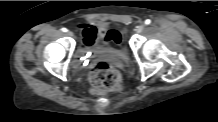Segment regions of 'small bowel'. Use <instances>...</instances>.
<instances>
[{
  "label": "small bowel",
  "instance_id": "1",
  "mask_svg": "<svg viewBox=\"0 0 218 122\" xmlns=\"http://www.w3.org/2000/svg\"><path fill=\"white\" fill-rule=\"evenodd\" d=\"M77 28L80 31V43L82 49L96 45L102 38V33L104 31L103 27L97 28L91 24H78ZM125 45L126 38L124 37L122 46L117 49H122Z\"/></svg>",
  "mask_w": 218,
  "mask_h": 122
}]
</instances>
